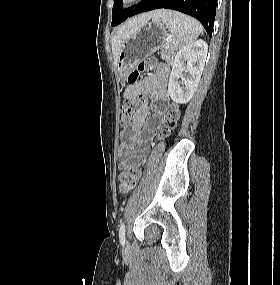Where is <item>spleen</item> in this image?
I'll return each instance as SVG.
<instances>
[{
	"instance_id": "3e777b00",
	"label": "spleen",
	"mask_w": 280,
	"mask_h": 285,
	"mask_svg": "<svg viewBox=\"0 0 280 285\" xmlns=\"http://www.w3.org/2000/svg\"><path fill=\"white\" fill-rule=\"evenodd\" d=\"M153 20L162 21L172 33L170 49L173 51L193 43L203 33L202 26L198 21L176 11L158 10Z\"/></svg>"
}]
</instances>
